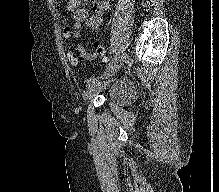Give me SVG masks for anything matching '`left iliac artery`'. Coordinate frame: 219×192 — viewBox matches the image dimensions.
<instances>
[{
    "label": "left iliac artery",
    "mask_w": 219,
    "mask_h": 192,
    "mask_svg": "<svg viewBox=\"0 0 219 192\" xmlns=\"http://www.w3.org/2000/svg\"><path fill=\"white\" fill-rule=\"evenodd\" d=\"M119 55V52L116 53V55L112 58V60L109 62V64L106 66V69L107 70L112 64H113V61L118 57Z\"/></svg>",
    "instance_id": "left-iliac-artery-1"
}]
</instances>
